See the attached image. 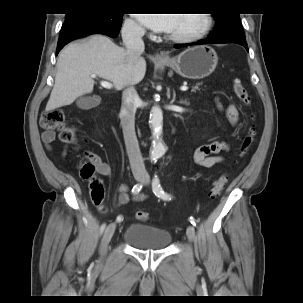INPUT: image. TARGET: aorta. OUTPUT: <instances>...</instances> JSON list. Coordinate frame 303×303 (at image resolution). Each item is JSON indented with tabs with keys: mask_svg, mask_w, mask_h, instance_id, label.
I'll use <instances>...</instances> for the list:
<instances>
[{
	"mask_svg": "<svg viewBox=\"0 0 303 303\" xmlns=\"http://www.w3.org/2000/svg\"><path fill=\"white\" fill-rule=\"evenodd\" d=\"M163 113L158 106H154L150 113V127L152 129V147L150 150L151 161L156 162L167 151V147L162 141Z\"/></svg>",
	"mask_w": 303,
	"mask_h": 303,
	"instance_id": "obj_1",
	"label": "aorta"
}]
</instances>
